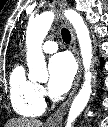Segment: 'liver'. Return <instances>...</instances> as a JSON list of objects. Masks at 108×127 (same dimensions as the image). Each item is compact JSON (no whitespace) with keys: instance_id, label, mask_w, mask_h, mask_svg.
Returning a JSON list of instances; mask_svg holds the SVG:
<instances>
[{"instance_id":"liver-1","label":"liver","mask_w":108,"mask_h":127,"mask_svg":"<svg viewBox=\"0 0 108 127\" xmlns=\"http://www.w3.org/2000/svg\"><path fill=\"white\" fill-rule=\"evenodd\" d=\"M5 127H42V122L33 118H13L5 124Z\"/></svg>"}]
</instances>
